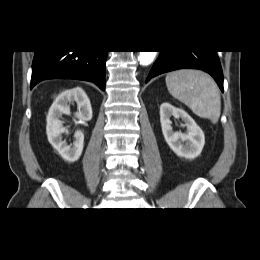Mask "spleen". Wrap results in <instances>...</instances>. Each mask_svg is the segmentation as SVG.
I'll list each match as a JSON object with an SVG mask.
<instances>
[{
  "mask_svg": "<svg viewBox=\"0 0 260 260\" xmlns=\"http://www.w3.org/2000/svg\"><path fill=\"white\" fill-rule=\"evenodd\" d=\"M169 93L201 118L217 123L221 114V97L211 76L197 70H178L167 74Z\"/></svg>",
  "mask_w": 260,
  "mask_h": 260,
  "instance_id": "spleen-1",
  "label": "spleen"
}]
</instances>
